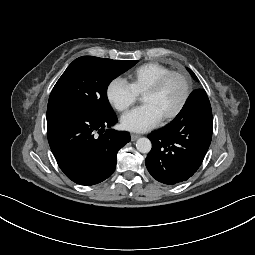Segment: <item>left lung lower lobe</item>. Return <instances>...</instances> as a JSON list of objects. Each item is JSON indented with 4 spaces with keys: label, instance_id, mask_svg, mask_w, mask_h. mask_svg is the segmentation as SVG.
I'll return each instance as SVG.
<instances>
[{
    "label": "left lung lower lobe",
    "instance_id": "0a47b994",
    "mask_svg": "<svg viewBox=\"0 0 255 255\" xmlns=\"http://www.w3.org/2000/svg\"><path fill=\"white\" fill-rule=\"evenodd\" d=\"M212 110L204 89L194 90L176 118L148 135L152 149L145 160L157 181L173 185L200 167L212 138Z\"/></svg>",
    "mask_w": 255,
    "mask_h": 255
}]
</instances>
